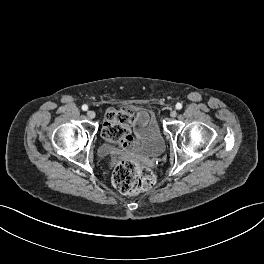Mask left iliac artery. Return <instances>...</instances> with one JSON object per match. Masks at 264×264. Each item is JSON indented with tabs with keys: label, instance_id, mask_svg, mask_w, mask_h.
<instances>
[{
	"label": "left iliac artery",
	"instance_id": "left-iliac-artery-1",
	"mask_svg": "<svg viewBox=\"0 0 264 264\" xmlns=\"http://www.w3.org/2000/svg\"><path fill=\"white\" fill-rule=\"evenodd\" d=\"M182 108V104L181 103H177L176 104V109L180 110Z\"/></svg>",
	"mask_w": 264,
	"mask_h": 264
}]
</instances>
